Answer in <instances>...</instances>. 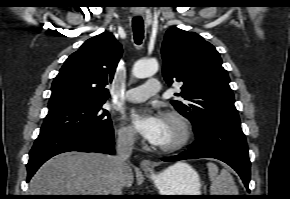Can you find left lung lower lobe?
Listing matches in <instances>:
<instances>
[{
    "label": "left lung lower lobe",
    "instance_id": "1",
    "mask_svg": "<svg viewBox=\"0 0 290 199\" xmlns=\"http://www.w3.org/2000/svg\"><path fill=\"white\" fill-rule=\"evenodd\" d=\"M196 140L186 152L162 159L165 162L197 158H215L230 165L241 177L247 190L250 160L245 135L240 126L207 122L194 127Z\"/></svg>",
    "mask_w": 290,
    "mask_h": 199
}]
</instances>
